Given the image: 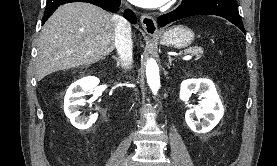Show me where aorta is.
Listing matches in <instances>:
<instances>
[{
    "mask_svg": "<svg viewBox=\"0 0 277 166\" xmlns=\"http://www.w3.org/2000/svg\"><path fill=\"white\" fill-rule=\"evenodd\" d=\"M146 77L152 93L156 95L160 88V76L159 67L154 59L147 61Z\"/></svg>",
    "mask_w": 277,
    "mask_h": 166,
    "instance_id": "obj_1",
    "label": "aorta"
}]
</instances>
